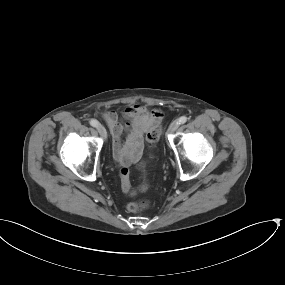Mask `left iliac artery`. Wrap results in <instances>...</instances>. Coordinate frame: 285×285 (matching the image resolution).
<instances>
[{
    "label": "left iliac artery",
    "instance_id": "1",
    "mask_svg": "<svg viewBox=\"0 0 285 285\" xmlns=\"http://www.w3.org/2000/svg\"><path fill=\"white\" fill-rule=\"evenodd\" d=\"M187 117L186 116H181L179 119H178V123L179 124H184L187 122Z\"/></svg>",
    "mask_w": 285,
    "mask_h": 285
}]
</instances>
